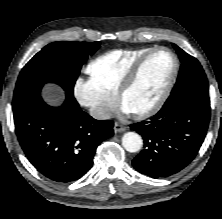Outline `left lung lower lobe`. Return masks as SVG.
Instances as JSON below:
<instances>
[{
	"label": "left lung lower lobe",
	"mask_w": 222,
	"mask_h": 219,
	"mask_svg": "<svg viewBox=\"0 0 222 219\" xmlns=\"http://www.w3.org/2000/svg\"><path fill=\"white\" fill-rule=\"evenodd\" d=\"M210 119V101L193 95L168 98L149 121L130 125L144 139V149L132 164L152 178L167 177L185 168L197 155Z\"/></svg>",
	"instance_id": "left-lung-lower-lobe-1"
}]
</instances>
